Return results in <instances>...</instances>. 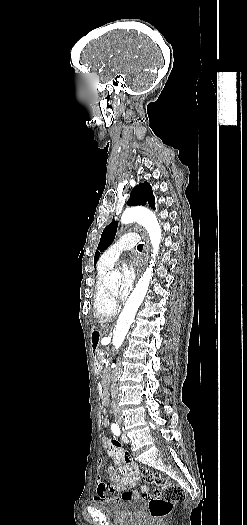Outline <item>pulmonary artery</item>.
<instances>
[{"instance_id": "obj_1", "label": "pulmonary artery", "mask_w": 247, "mask_h": 525, "mask_svg": "<svg viewBox=\"0 0 247 525\" xmlns=\"http://www.w3.org/2000/svg\"><path fill=\"white\" fill-rule=\"evenodd\" d=\"M140 240V236H132V232L122 234L103 253L105 263L112 264L123 250L135 247Z\"/></svg>"}]
</instances>
